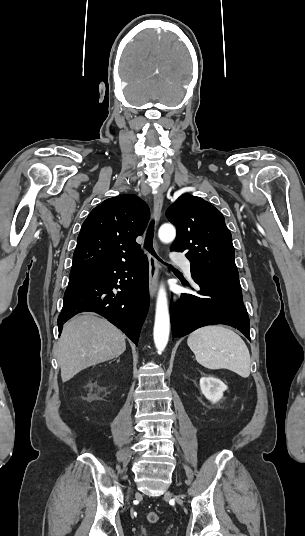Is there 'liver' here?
Segmentation results:
<instances>
[{"label": "liver", "mask_w": 305, "mask_h": 536, "mask_svg": "<svg viewBox=\"0 0 305 536\" xmlns=\"http://www.w3.org/2000/svg\"><path fill=\"white\" fill-rule=\"evenodd\" d=\"M126 350L125 336L104 318L91 312L74 316L64 324L58 340L57 362L62 382L81 370L118 358Z\"/></svg>", "instance_id": "liver-1"}]
</instances>
